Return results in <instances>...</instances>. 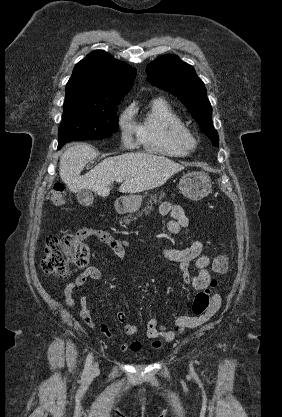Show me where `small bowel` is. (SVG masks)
<instances>
[{
	"mask_svg": "<svg viewBox=\"0 0 282 417\" xmlns=\"http://www.w3.org/2000/svg\"><path fill=\"white\" fill-rule=\"evenodd\" d=\"M159 212L162 216H170L172 219L167 223V230L174 235H181L189 226V218L186 215L182 206L174 204L170 201H164L159 207ZM76 238L84 240L87 238H96L104 245L108 246L114 256L120 260L126 256L128 242L124 239L114 237L108 231L96 226H84L76 231ZM203 244L200 240L194 239L184 248H172L166 246L161 240L157 242V250L162 258L167 261L178 264V268L185 284L191 286L197 291L205 290L210 282L211 275L208 270L211 259L202 255ZM216 259V258H215ZM193 268L196 273L191 272ZM103 279V272L96 266H90L80 273L74 280L68 282L64 288L65 303L68 307L74 308L75 300L73 293L78 288L82 287L88 280L101 281ZM81 317L83 318L84 310H88L87 298L81 296ZM221 306V296L214 294L211 298V303L208 310L201 316H187L180 315L174 319L173 328L169 329L160 325L157 318L151 317L147 320L145 325V335L150 340H168L172 341L178 335L187 329L196 328L204 324L211 316H213ZM116 319L120 323L126 321V314L124 311L116 313ZM98 330L108 338L112 335L108 327L101 323ZM124 332L128 336H134L138 332V327L134 324H125ZM142 349L141 341L131 339L120 344V351L123 353H138Z\"/></svg>",
	"mask_w": 282,
	"mask_h": 417,
	"instance_id": "small-bowel-1",
	"label": "small bowel"
}]
</instances>
